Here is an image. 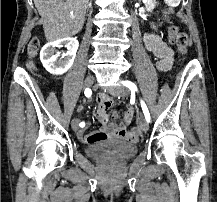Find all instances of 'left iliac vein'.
I'll return each mask as SVG.
<instances>
[{
  "label": "left iliac vein",
  "instance_id": "4c4485c4",
  "mask_svg": "<svg viewBox=\"0 0 217 202\" xmlns=\"http://www.w3.org/2000/svg\"><path fill=\"white\" fill-rule=\"evenodd\" d=\"M109 93L113 96H122V97H127L128 94H129V90L126 88V87H123V86H117V87H114L113 89H111L109 91ZM139 126L141 127V129L144 131V132H147L148 130V122L147 120L144 118V117H141L140 120H139Z\"/></svg>",
  "mask_w": 217,
  "mask_h": 202
}]
</instances>
